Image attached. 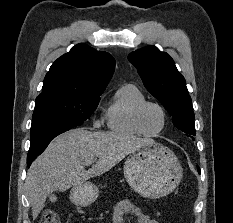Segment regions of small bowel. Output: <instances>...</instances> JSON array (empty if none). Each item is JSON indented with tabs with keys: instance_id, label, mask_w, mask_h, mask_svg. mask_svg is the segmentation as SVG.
<instances>
[{
	"instance_id": "1",
	"label": "small bowel",
	"mask_w": 233,
	"mask_h": 223,
	"mask_svg": "<svg viewBox=\"0 0 233 223\" xmlns=\"http://www.w3.org/2000/svg\"><path fill=\"white\" fill-rule=\"evenodd\" d=\"M133 217L135 223H158L157 220L149 218L142 210L129 200L119 201L113 209L112 223H126L127 217Z\"/></svg>"
}]
</instances>
